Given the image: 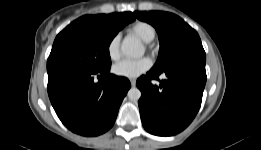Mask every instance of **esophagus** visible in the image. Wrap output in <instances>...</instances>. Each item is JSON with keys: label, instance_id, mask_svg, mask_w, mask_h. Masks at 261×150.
Segmentation results:
<instances>
[{"label": "esophagus", "instance_id": "obj_1", "mask_svg": "<svg viewBox=\"0 0 261 150\" xmlns=\"http://www.w3.org/2000/svg\"><path fill=\"white\" fill-rule=\"evenodd\" d=\"M131 86L134 87L136 85V80L135 79H130Z\"/></svg>", "mask_w": 261, "mask_h": 150}]
</instances>
